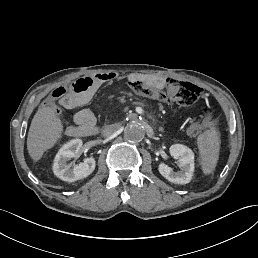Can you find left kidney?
Segmentation results:
<instances>
[{
  "label": "left kidney",
  "instance_id": "1",
  "mask_svg": "<svg viewBox=\"0 0 258 258\" xmlns=\"http://www.w3.org/2000/svg\"><path fill=\"white\" fill-rule=\"evenodd\" d=\"M170 155L179 160L181 171L174 172L164 163L159 165L160 174L168 181L176 184H187L191 181L194 173V153L185 145L173 144L169 148Z\"/></svg>",
  "mask_w": 258,
  "mask_h": 258
}]
</instances>
